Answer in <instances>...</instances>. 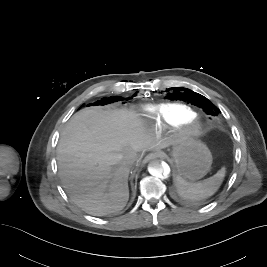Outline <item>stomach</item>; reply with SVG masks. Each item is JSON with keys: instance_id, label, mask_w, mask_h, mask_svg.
Instances as JSON below:
<instances>
[{"instance_id": "1", "label": "stomach", "mask_w": 267, "mask_h": 267, "mask_svg": "<svg viewBox=\"0 0 267 267\" xmlns=\"http://www.w3.org/2000/svg\"><path fill=\"white\" fill-rule=\"evenodd\" d=\"M171 156L178 174L189 181L203 178L212 164V155L208 147L192 138L176 141Z\"/></svg>"}]
</instances>
